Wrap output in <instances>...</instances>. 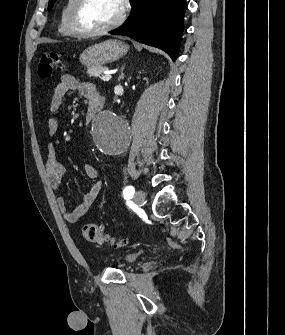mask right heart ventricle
Masks as SVG:
<instances>
[{
  "label": "right heart ventricle",
  "mask_w": 285,
  "mask_h": 335,
  "mask_svg": "<svg viewBox=\"0 0 285 335\" xmlns=\"http://www.w3.org/2000/svg\"><path fill=\"white\" fill-rule=\"evenodd\" d=\"M74 4H75V1H66L63 12H62L59 33L65 38H71V39L78 38V35H76L73 32L71 28V24H70V14H71V10ZM86 60H98V59L90 57Z\"/></svg>",
  "instance_id": "1"
}]
</instances>
